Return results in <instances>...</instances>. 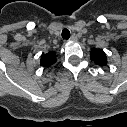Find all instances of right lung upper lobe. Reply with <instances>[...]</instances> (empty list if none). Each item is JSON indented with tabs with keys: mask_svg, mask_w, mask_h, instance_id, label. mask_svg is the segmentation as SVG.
Listing matches in <instances>:
<instances>
[{
	"mask_svg": "<svg viewBox=\"0 0 127 127\" xmlns=\"http://www.w3.org/2000/svg\"><path fill=\"white\" fill-rule=\"evenodd\" d=\"M56 59V53L55 52H49L47 54H42L41 55V66L43 67H50L52 64L55 63Z\"/></svg>",
	"mask_w": 127,
	"mask_h": 127,
	"instance_id": "right-lung-upper-lobe-1",
	"label": "right lung upper lobe"
}]
</instances>
